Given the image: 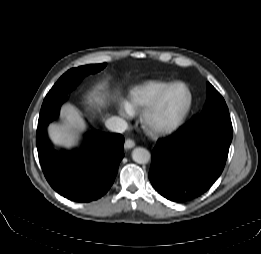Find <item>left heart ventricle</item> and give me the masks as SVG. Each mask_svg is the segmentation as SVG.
<instances>
[{
	"label": "left heart ventricle",
	"mask_w": 261,
	"mask_h": 254,
	"mask_svg": "<svg viewBox=\"0 0 261 254\" xmlns=\"http://www.w3.org/2000/svg\"><path fill=\"white\" fill-rule=\"evenodd\" d=\"M188 99V92L184 87H174L166 95L158 113V119L161 121L173 120L183 111L188 103Z\"/></svg>",
	"instance_id": "left-heart-ventricle-1"
}]
</instances>
